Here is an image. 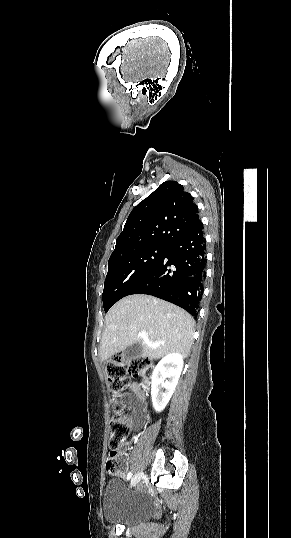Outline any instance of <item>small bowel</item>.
<instances>
[{
	"label": "small bowel",
	"mask_w": 291,
	"mask_h": 538,
	"mask_svg": "<svg viewBox=\"0 0 291 538\" xmlns=\"http://www.w3.org/2000/svg\"><path fill=\"white\" fill-rule=\"evenodd\" d=\"M128 389L133 393V397L131 398L130 404L133 408V414L131 419L129 420L130 427L138 428L141 426L143 422V418L146 412V400L144 393L142 391L141 385L137 383L131 384ZM121 457L124 460V462L127 461V454L121 453Z\"/></svg>",
	"instance_id": "obj_1"
}]
</instances>
